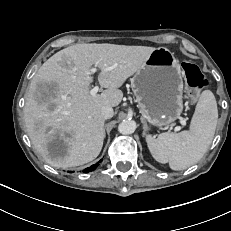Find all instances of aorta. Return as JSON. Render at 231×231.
<instances>
[{
	"label": "aorta",
	"instance_id": "aorta-1",
	"mask_svg": "<svg viewBox=\"0 0 231 231\" xmlns=\"http://www.w3.org/2000/svg\"><path fill=\"white\" fill-rule=\"evenodd\" d=\"M135 130H136V122L133 120H123L118 125L119 133L124 135L132 134Z\"/></svg>",
	"mask_w": 231,
	"mask_h": 231
}]
</instances>
